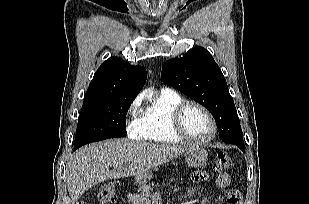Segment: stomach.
<instances>
[{"instance_id":"obj_1","label":"stomach","mask_w":309,"mask_h":204,"mask_svg":"<svg viewBox=\"0 0 309 204\" xmlns=\"http://www.w3.org/2000/svg\"><path fill=\"white\" fill-rule=\"evenodd\" d=\"M208 153L207 151L198 145L190 147L185 153V161L187 165L191 168H197L204 165L207 161ZM153 177V172L149 170L146 173L138 174L135 176V181L140 185H145Z\"/></svg>"}]
</instances>
